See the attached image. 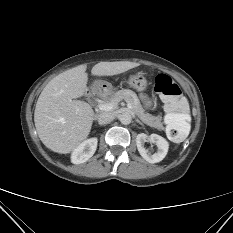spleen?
I'll use <instances>...</instances> for the list:
<instances>
[{
    "label": "spleen",
    "mask_w": 233,
    "mask_h": 233,
    "mask_svg": "<svg viewBox=\"0 0 233 233\" xmlns=\"http://www.w3.org/2000/svg\"><path fill=\"white\" fill-rule=\"evenodd\" d=\"M168 121L170 124L183 123L186 124V121L190 120V116L187 114H169L167 115Z\"/></svg>",
    "instance_id": "3e777b00"
}]
</instances>
